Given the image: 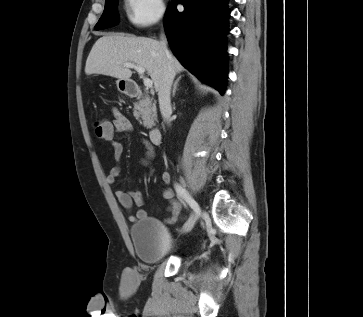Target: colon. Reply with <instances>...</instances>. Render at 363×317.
Returning a JSON list of instances; mask_svg holds the SVG:
<instances>
[{
  "instance_id": "1",
  "label": "colon",
  "mask_w": 363,
  "mask_h": 317,
  "mask_svg": "<svg viewBox=\"0 0 363 317\" xmlns=\"http://www.w3.org/2000/svg\"><path fill=\"white\" fill-rule=\"evenodd\" d=\"M95 132H101L102 130L108 129V122L98 120L94 123Z\"/></svg>"
}]
</instances>
